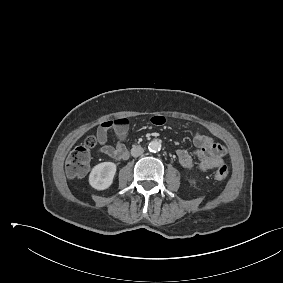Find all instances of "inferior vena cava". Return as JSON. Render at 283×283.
<instances>
[{"label": "inferior vena cava", "mask_w": 283, "mask_h": 283, "mask_svg": "<svg viewBox=\"0 0 283 283\" xmlns=\"http://www.w3.org/2000/svg\"><path fill=\"white\" fill-rule=\"evenodd\" d=\"M144 152V149L141 146H133L131 149V155L133 157H138L142 155Z\"/></svg>", "instance_id": "obj_1"}]
</instances>
